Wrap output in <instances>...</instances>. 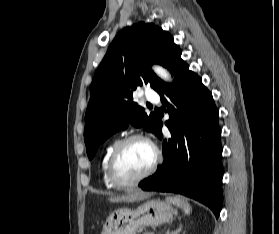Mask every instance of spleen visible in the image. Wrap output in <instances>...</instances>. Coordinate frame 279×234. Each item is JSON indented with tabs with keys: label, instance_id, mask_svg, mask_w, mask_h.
<instances>
[{
	"label": "spleen",
	"instance_id": "obj_1",
	"mask_svg": "<svg viewBox=\"0 0 279 234\" xmlns=\"http://www.w3.org/2000/svg\"><path fill=\"white\" fill-rule=\"evenodd\" d=\"M169 203H172L173 205H176L178 207H181L183 209V211L185 212V214L189 215L192 211L191 206L189 205V203L187 201H185L184 199H181L180 197H168L166 199Z\"/></svg>",
	"mask_w": 279,
	"mask_h": 234
}]
</instances>
